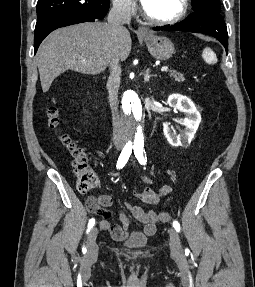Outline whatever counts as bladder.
<instances>
[{"instance_id":"obj_1","label":"bladder","mask_w":255,"mask_h":287,"mask_svg":"<svg viewBox=\"0 0 255 287\" xmlns=\"http://www.w3.org/2000/svg\"><path fill=\"white\" fill-rule=\"evenodd\" d=\"M123 242L128 247L139 248L145 246L148 243V237L143 232L135 231L124 238Z\"/></svg>"}]
</instances>
